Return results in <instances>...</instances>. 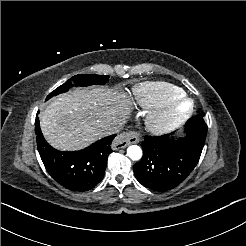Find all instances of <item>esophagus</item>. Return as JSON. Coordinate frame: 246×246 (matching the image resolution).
Segmentation results:
<instances>
[{"instance_id": "34e87169", "label": "esophagus", "mask_w": 246, "mask_h": 246, "mask_svg": "<svg viewBox=\"0 0 246 246\" xmlns=\"http://www.w3.org/2000/svg\"><path fill=\"white\" fill-rule=\"evenodd\" d=\"M139 142V137L137 132L135 131H126L118 135L113 143H112V148L114 150H119L122 148L127 147L130 144H137Z\"/></svg>"}]
</instances>
